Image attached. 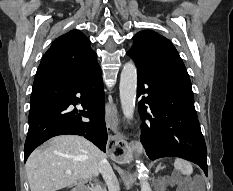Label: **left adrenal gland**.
I'll return each mask as SVG.
<instances>
[{"instance_id": "1", "label": "left adrenal gland", "mask_w": 233, "mask_h": 191, "mask_svg": "<svg viewBox=\"0 0 233 191\" xmlns=\"http://www.w3.org/2000/svg\"><path fill=\"white\" fill-rule=\"evenodd\" d=\"M160 169H161V166L158 165L155 172L157 173Z\"/></svg>"}]
</instances>
